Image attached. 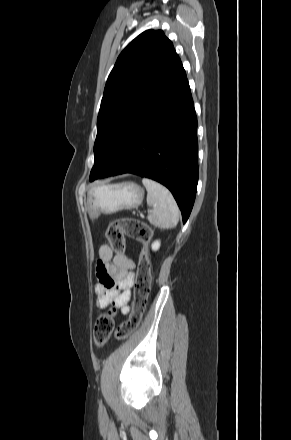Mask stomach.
<instances>
[{
    "label": "stomach",
    "instance_id": "obj_1",
    "mask_svg": "<svg viewBox=\"0 0 291 440\" xmlns=\"http://www.w3.org/2000/svg\"><path fill=\"white\" fill-rule=\"evenodd\" d=\"M144 190L134 182L99 185L87 194L86 210L91 218L101 213L112 214L123 209H132L142 203Z\"/></svg>",
    "mask_w": 291,
    "mask_h": 440
}]
</instances>
